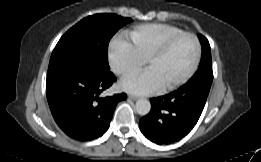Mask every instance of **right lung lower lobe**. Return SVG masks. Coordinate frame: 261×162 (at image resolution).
<instances>
[{"label":"right lung lower lobe","instance_id":"obj_1","mask_svg":"<svg viewBox=\"0 0 261 162\" xmlns=\"http://www.w3.org/2000/svg\"><path fill=\"white\" fill-rule=\"evenodd\" d=\"M116 77L87 61H73L48 69L46 95L58 126L71 138L90 141L109 128L112 114L126 94L99 97Z\"/></svg>","mask_w":261,"mask_h":162}]
</instances>
